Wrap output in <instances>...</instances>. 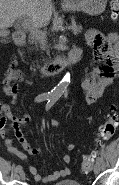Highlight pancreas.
Wrapping results in <instances>:
<instances>
[{
    "instance_id": "pancreas-1",
    "label": "pancreas",
    "mask_w": 119,
    "mask_h": 185,
    "mask_svg": "<svg viewBox=\"0 0 119 185\" xmlns=\"http://www.w3.org/2000/svg\"><path fill=\"white\" fill-rule=\"evenodd\" d=\"M82 31V27H74L73 28V33L74 34H78ZM29 40L31 43L35 44V46H39L40 49H45L46 48V43L45 41H42L41 39H39L34 33H31L29 36Z\"/></svg>"
}]
</instances>
